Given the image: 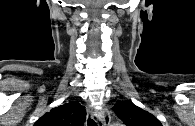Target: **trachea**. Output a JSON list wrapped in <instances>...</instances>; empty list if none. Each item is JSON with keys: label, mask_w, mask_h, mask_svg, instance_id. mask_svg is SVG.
<instances>
[{"label": "trachea", "mask_w": 195, "mask_h": 126, "mask_svg": "<svg viewBox=\"0 0 195 126\" xmlns=\"http://www.w3.org/2000/svg\"><path fill=\"white\" fill-rule=\"evenodd\" d=\"M88 126H97V122L94 119H88Z\"/></svg>", "instance_id": "trachea-1"}]
</instances>
